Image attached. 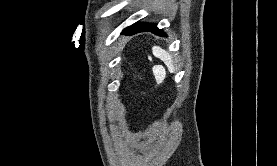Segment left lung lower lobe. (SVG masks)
<instances>
[{"mask_svg": "<svg viewBox=\"0 0 277 166\" xmlns=\"http://www.w3.org/2000/svg\"><path fill=\"white\" fill-rule=\"evenodd\" d=\"M150 31L157 35L166 36V34L156 27V24H133L123 30L122 34L133 35L139 32Z\"/></svg>", "mask_w": 277, "mask_h": 166, "instance_id": "0a47b994", "label": "left lung lower lobe"}]
</instances>
